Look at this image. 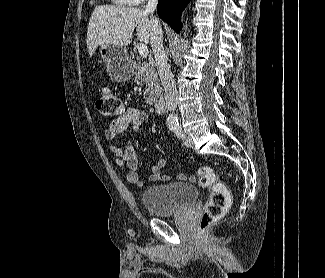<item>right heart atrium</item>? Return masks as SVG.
<instances>
[{
    "instance_id": "d8ad5b80",
    "label": "right heart atrium",
    "mask_w": 325,
    "mask_h": 278,
    "mask_svg": "<svg viewBox=\"0 0 325 278\" xmlns=\"http://www.w3.org/2000/svg\"><path fill=\"white\" fill-rule=\"evenodd\" d=\"M130 1H131V4H136V5H138V4L143 3L145 0H130Z\"/></svg>"
}]
</instances>
